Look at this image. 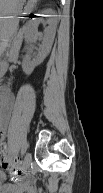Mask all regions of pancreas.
I'll list each match as a JSON object with an SVG mask.
<instances>
[{
	"label": "pancreas",
	"instance_id": "pancreas-1",
	"mask_svg": "<svg viewBox=\"0 0 103 193\" xmlns=\"http://www.w3.org/2000/svg\"><path fill=\"white\" fill-rule=\"evenodd\" d=\"M12 26H17V21H11L10 22ZM22 39L19 36H15L12 41V46L9 52V57H13L18 53V50L20 48Z\"/></svg>",
	"mask_w": 103,
	"mask_h": 193
}]
</instances>
